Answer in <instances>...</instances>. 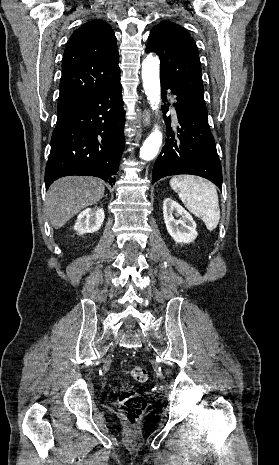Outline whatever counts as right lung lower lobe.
Masks as SVG:
<instances>
[{"label": "right lung lower lobe", "mask_w": 279, "mask_h": 465, "mask_svg": "<svg viewBox=\"0 0 279 465\" xmlns=\"http://www.w3.org/2000/svg\"><path fill=\"white\" fill-rule=\"evenodd\" d=\"M121 89L119 78L57 122L45 170L46 189L68 175L96 176L114 185L125 144Z\"/></svg>", "instance_id": "1"}]
</instances>
